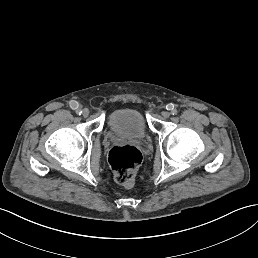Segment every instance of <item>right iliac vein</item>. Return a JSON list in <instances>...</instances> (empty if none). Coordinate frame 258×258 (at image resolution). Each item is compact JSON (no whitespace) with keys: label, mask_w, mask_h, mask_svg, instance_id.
Here are the masks:
<instances>
[{"label":"right iliac vein","mask_w":258,"mask_h":258,"mask_svg":"<svg viewBox=\"0 0 258 258\" xmlns=\"http://www.w3.org/2000/svg\"><path fill=\"white\" fill-rule=\"evenodd\" d=\"M89 111H90L89 108H87V107L84 108V109L82 110V112H81V113H82V114H81L82 117L85 118V117L89 116V113H90Z\"/></svg>","instance_id":"63e3f726"}]
</instances>
